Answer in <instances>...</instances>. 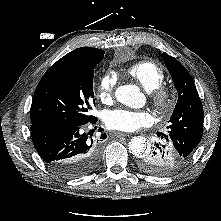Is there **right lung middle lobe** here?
Here are the masks:
<instances>
[{
	"label": "right lung middle lobe",
	"instance_id": "dd1d6c3e",
	"mask_svg": "<svg viewBox=\"0 0 221 221\" xmlns=\"http://www.w3.org/2000/svg\"><path fill=\"white\" fill-rule=\"evenodd\" d=\"M102 59L103 56H92L52 66L35 91L31 122L77 126L96 119L88 115V111L94 103V69Z\"/></svg>",
	"mask_w": 221,
	"mask_h": 221
}]
</instances>
